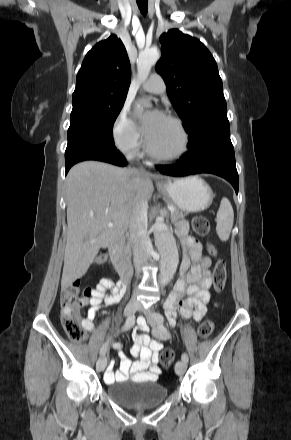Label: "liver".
I'll use <instances>...</instances> for the list:
<instances>
[{"label": "liver", "mask_w": 291, "mask_h": 440, "mask_svg": "<svg viewBox=\"0 0 291 440\" xmlns=\"http://www.w3.org/2000/svg\"><path fill=\"white\" fill-rule=\"evenodd\" d=\"M153 191L151 175L138 169L98 161H84L70 169L62 289L85 275L100 248L124 236L134 207L144 202L148 208Z\"/></svg>", "instance_id": "1"}]
</instances>
